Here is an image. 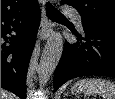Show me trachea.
Wrapping results in <instances>:
<instances>
[{
	"label": "trachea",
	"instance_id": "1",
	"mask_svg": "<svg viewBox=\"0 0 115 99\" xmlns=\"http://www.w3.org/2000/svg\"><path fill=\"white\" fill-rule=\"evenodd\" d=\"M46 13L50 18L65 17L60 11H58L51 3H46Z\"/></svg>",
	"mask_w": 115,
	"mask_h": 99
}]
</instances>
